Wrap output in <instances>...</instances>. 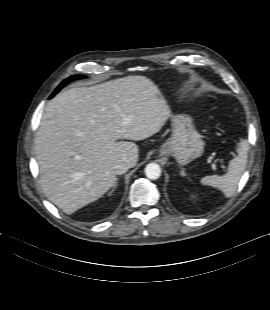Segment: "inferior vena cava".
<instances>
[{
	"label": "inferior vena cava",
	"instance_id": "obj_1",
	"mask_svg": "<svg viewBox=\"0 0 270 310\" xmlns=\"http://www.w3.org/2000/svg\"><path fill=\"white\" fill-rule=\"evenodd\" d=\"M129 168H130L129 162L126 159H122L115 164L114 172L117 175H121L126 173Z\"/></svg>",
	"mask_w": 270,
	"mask_h": 310
}]
</instances>
